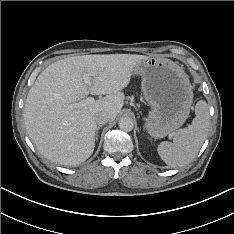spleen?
I'll list each match as a JSON object with an SVG mask.
<instances>
[{
    "mask_svg": "<svg viewBox=\"0 0 234 234\" xmlns=\"http://www.w3.org/2000/svg\"><path fill=\"white\" fill-rule=\"evenodd\" d=\"M195 115L191 125L175 133L173 143L163 141L158 145L157 152L169 167L190 163L203 145L210 127L209 107L204 100L197 102Z\"/></svg>",
    "mask_w": 234,
    "mask_h": 234,
    "instance_id": "1",
    "label": "spleen"
}]
</instances>
